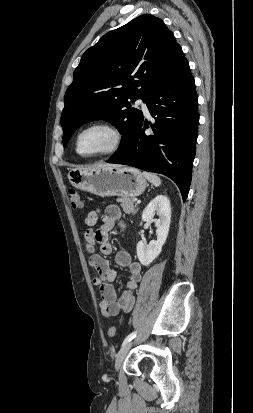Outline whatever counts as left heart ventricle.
<instances>
[{"label":"left heart ventricle","mask_w":253,"mask_h":413,"mask_svg":"<svg viewBox=\"0 0 253 413\" xmlns=\"http://www.w3.org/2000/svg\"><path fill=\"white\" fill-rule=\"evenodd\" d=\"M112 142V135L104 128H92L85 131L79 139V151L82 154H94L106 149Z\"/></svg>","instance_id":"b2bd125f"}]
</instances>
